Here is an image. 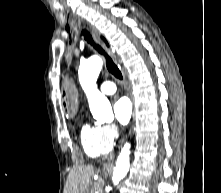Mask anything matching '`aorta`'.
Instances as JSON below:
<instances>
[{
  "label": "aorta",
  "instance_id": "762f6f07",
  "mask_svg": "<svg viewBox=\"0 0 221 193\" xmlns=\"http://www.w3.org/2000/svg\"><path fill=\"white\" fill-rule=\"evenodd\" d=\"M102 67V59L98 56H92L80 64L78 77L86 93L93 117L98 121L107 122L113 120V112L109 100L97 88V79ZM130 147L129 143H125L116 160L112 176L114 185L119 184L129 171Z\"/></svg>",
  "mask_w": 221,
  "mask_h": 193
}]
</instances>
